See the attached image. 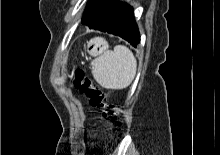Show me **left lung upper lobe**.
I'll list each match as a JSON object with an SVG mask.
<instances>
[{"instance_id": "obj_1", "label": "left lung upper lobe", "mask_w": 220, "mask_h": 155, "mask_svg": "<svg viewBox=\"0 0 220 155\" xmlns=\"http://www.w3.org/2000/svg\"><path fill=\"white\" fill-rule=\"evenodd\" d=\"M97 0H89L87 7H86V11L96 2Z\"/></svg>"}]
</instances>
